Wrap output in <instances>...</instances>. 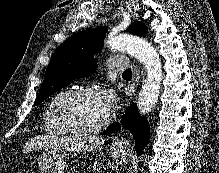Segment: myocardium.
<instances>
[{"label":"myocardium","mask_w":219,"mask_h":173,"mask_svg":"<svg viewBox=\"0 0 219 173\" xmlns=\"http://www.w3.org/2000/svg\"><path fill=\"white\" fill-rule=\"evenodd\" d=\"M93 93H100V92L94 86H81L69 91L62 99L58 109L59 120L63 125V127L66 128L70 133L75 135L96 134L104 130L111 122L112 119L111 113H109L101 123L93 127H81L77 125L71 118L70 107L74 102V100L82 95L93 94Z\"/></svg>","instance_id":"myocardium-1"}]
</instances>
